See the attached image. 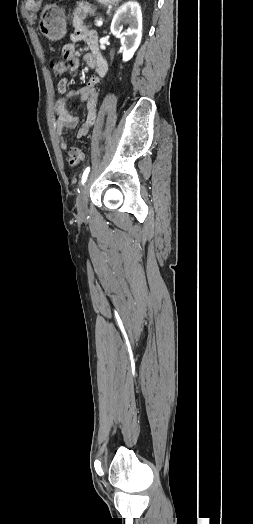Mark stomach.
<instances>
[{
	"label": "stomach",
	"instance_id": "1",
	"mask_svg": "<svg viewBox=\"0 0 253 524\" xmlns=\"http://www.w3.org/2000/svg\"><path fill=\"white\" fill-rule=\"evenodd\" d=\"M98 3L109 6L117 5L120 0H97ZM39 30L46 38L57 41L66 34L65 11L57 5H47L41 13Z\"/></svg>",
	"mask_w": 253,
	"mask_h": 524
}]
</instances>
